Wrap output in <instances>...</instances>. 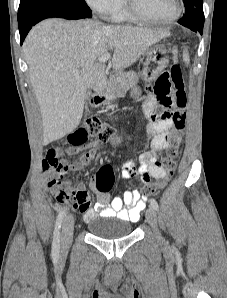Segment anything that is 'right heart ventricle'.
<instances>
[{
  "mask_svg": "<svg viewBox=\"0 0 227 298\" xmlns=\"http://www.w3.org/2000/svg\"><path fill=\"white\" fill-rule=\"evenodd\" d=\"M113 21H126V22H134L136 20H134L125 10L124 7V3L121 2L120 7L118 8V10L111 16Z\"/></svg>",
  "mask_w": 227,
  "mask_h": 298,
  "instance_id": "e07e8e85",
  "label": "right heart ventricle"
}]
</instances>
